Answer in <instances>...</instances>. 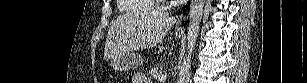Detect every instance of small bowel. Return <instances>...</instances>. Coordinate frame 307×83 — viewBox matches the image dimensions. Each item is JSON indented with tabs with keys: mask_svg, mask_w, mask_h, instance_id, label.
I'll return each instance as SVG.
<instances>
[{
	"mask_svg": "<svg viewBox=\"0 0 307 83\" xmlns=\"http://www.w3.org/2000/svg\"><path fill=\"white\" fill-rule=\"evenodd\" d=\"M133 83H149L147 77L143 73H135L133 75Z\"/></svg>",
	"mask_w": 307,
	"mask_h": 83,
	"instance_id": "1",
	"label": "small bowel"
}]
</instances>
